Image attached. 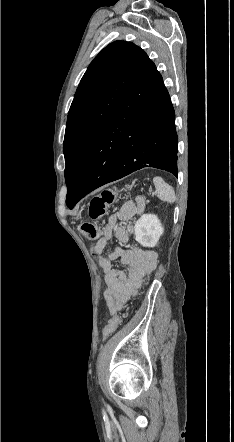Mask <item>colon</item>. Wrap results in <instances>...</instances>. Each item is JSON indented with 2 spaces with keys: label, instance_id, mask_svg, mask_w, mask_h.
I'll use <instances>...</instances> for the list:
<instances>
[{
  "label": "colon",
  "instance_id": "colon-1",
  "mask_svg": "<svg viewBox=\"0 0 234 442\" xmlns=\"http://www.w3.org/2000/svg\"><path fill=\"white\" fill-rule=\"evenodd\" d=\"M116 193L113 190H104L99 195L92 198L89 205V216L93 221L101 219L108 205L115 201ZM82 234L89 240L95 241L100 237V228L91 222H85L80 227ZM122 323V317L116 316L109 320L103 330V336L109 337Z\"/></svg>",
  "mask_w": 234,
  "mask_h": 442
}]
</instances>
